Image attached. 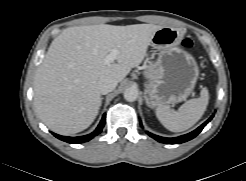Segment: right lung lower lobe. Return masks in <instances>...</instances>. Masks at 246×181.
<instances>
[{
	"instance_id": "1",
	"label": "right lung lower lobe",
	"mask_w": 246,
	"mask_h": 181,
	"mask_svg": "<svg viewBox=\"0 0 246 181\" xmlns=\"http://www.w3.org/2000/svg\"><path fill=\"white\" fill-rule=\"evenodd\" d=\"M105 114L102 117V120L100 122V124L98 125V127L96 128V130L88 135L85 136H80V137H66V136H61L55 133H52L55 137H57L58 139L68 142V143H72V144H77V143H83V142H87L90 139H92L93 137H95L96 135H98L101 131L102 128L104 127L105 124Z\"/></svg>"
}]
</instances>
